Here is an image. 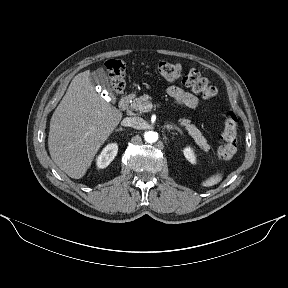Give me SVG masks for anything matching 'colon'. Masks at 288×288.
Masks as SVG:
<instances>
[{
    "instance_id": "5ec220e1",
    "label": "colon",
    "mask_w": 288,
    "mask_h": 288,
    "mask_svg": "<svg viewBox=\"0 0 288 288\" xmlns=\"http://www.w3.org/2000/svg\"><path fill=\"white\" fill-rule=\"evenodd\" d=\"M106 70L111 77L114 91L120 93L126 86L125 65L122 61L111 59L105 63ZM159 74L167 80L181 79L194 91L200 93L205 99H212L217 95V88L209 83L207 78L196 69L184 70L179 64L161 62L158 65ZM236 129L237 117L229 112L224 120L222 143L218 148V156L221 159H231L236 153Z\"/></svg>"
}]
</instances>
